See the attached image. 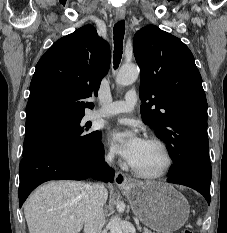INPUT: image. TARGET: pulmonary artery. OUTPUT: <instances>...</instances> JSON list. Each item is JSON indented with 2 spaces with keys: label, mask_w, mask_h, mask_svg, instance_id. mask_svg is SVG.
Returning a JSON list of instances; mask_svg holds the SVG:
<instances>
[{
  "label": "pulmonary artery",
  "mask_w": 227,
  "mask_h": 233,
  "mask_svg": "<svg viewBox=\"0 0 227 233\" xmlns=\"http://www.w3.org/2000/svg\"><path fill=\"white\" fill-rule=\"evenodd\" d=\"M137 101V93L134 90H130L126 93L123 100L107 104L99 109L96 114L100 117H111L118 114L130 113L134 110Z\"/></svg>",
  "instance_id": "1"
}]
</instances>
